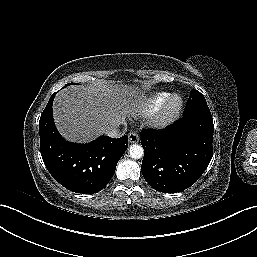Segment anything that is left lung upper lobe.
I'll return each instance as SVG.
<instances>
[{
    "label": "left lung upper lobe",
    "mask_w": 257,
    "mask_h": 257,
    "mask_svg": "<svg viewBox=\"0 0 257 257\" xmlns=\"http://www.w3.org/2000/svg\"><path fill=\"white\" fill-rule=\"evenodd\" d=\"M191 115L212 117L204 96L197 90H192L190 92V97L183 113V116Z\"/></svg>",
    "instance_id": "1"
}]
</instances>
